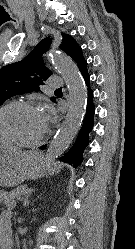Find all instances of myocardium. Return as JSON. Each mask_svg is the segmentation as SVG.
<instances>
[{
  "mask_svg": "<svg viewBox=\"0 0 135 249\" xmlns=\"http://www.w3.org/2000/svg\"><path fill=\"white\" fill-rule=\"evenodd\" d=\"M11 107H22V108L37 109V110L40 109L39 105L36 104L35 102L17 100V101L9 102L3 105L2 107H0V114L6 109L11 108ZM46 133H47V126H45L42 134L33 141H23V140L15 139L12 137L0 136V144H13V145H18V146L28 147V148L36 147L39 144H41V142L44 140Z\"/></svg>",
  "mask_w": 135,
  "mask_h": 249,
  "instance_id": "f54148a6",
  "label": "myocardium"
}]
</instances>
